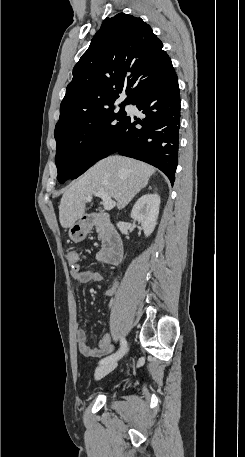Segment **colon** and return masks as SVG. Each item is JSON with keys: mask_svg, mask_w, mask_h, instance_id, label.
<instances>
[{"mask_svg": "<svg viewBox=\"0 0 245 457\" xmlns=\"http://www.w3.org/2000/svg\"><path fill=\"white\" fill-rule=\"evenodd\" d=\"M68 261L72 266V269H80L79 261V254L76 251H70L68 253Z\"/></svg>", "mask_w": 245, "mask_h": 457, "instance_id": "obj_1", "label": "colon"}]
</instances>
